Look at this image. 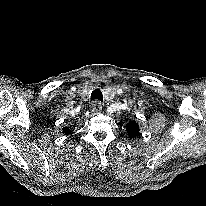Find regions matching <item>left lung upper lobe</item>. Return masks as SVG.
I'll return each mask as SVG.
<instances>
[{
  "instance_id": "1",
  "label": "left lung upper lobe",
  "mask_w": 206,
  "mask_h": 206,
  "mask_svg": "<svg viewBox=\"0 0 206 206\" xmlns=\"http://www.w3.org/2000/svg\"><path fill=\"white\" fill-rule=\"evenodd\" d=\"M130 138H134L139 134V125L135 121H131L126 127Z\"/></svg>"
}]
</instances>
